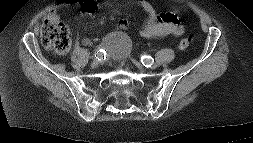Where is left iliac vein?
Wrapping results in <instances>:
<instances>
[{
  "label": "left iliac vein",
  "instance_id": "4c4485c4",
  "mask_svg": "<svg viewBox=\"0 0 253 143\" xmlns=\"http://www.w3.org/2000/svg\"><path fill=\"white\" fill-rule=\"evenodd\" d=\"M156 64L155 63H152V65L150 66L152 69H155L156 68Z\"/></svg>",
  "mask_w": 253,
  "mask_h": 143
}]
</instances>
